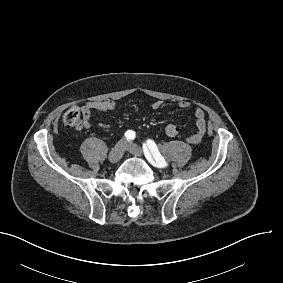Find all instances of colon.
I'll return each mask as SVG.
<instances>
[{
  "label": "colon",
  "instance_id": "5ec220e1",
  "mask_svg": "<svg viewBox=\"0 0 283 283\" xmlns=\"http://www.w3.org/2000/svg\"><path fill=\"white\" fill-rule=\"evenodd\" d=\"M80 107L74 106L69 108L64 116L63 121L65 123L66 128L78 130L81 127V118H80ZM165 134L168 137H176L179 134V127L174 124H170L165 128Z\"/></svg>",
  "mask_w": 283,
  "mask_h": 283
}]
</instances>
